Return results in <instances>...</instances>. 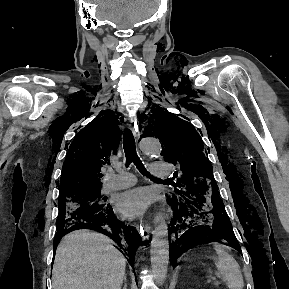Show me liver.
Listing matches in <instances>:
<instances>
[{"label": "liver", "mask_w": 289, "mask_h": 289, "mask_svg": "<svg viewBox=\"0 0 289 289\" xmlns=\"http://www.w3.org/2000/svg\"><path fill=\"white\" fill-rule=\"evenodd\" d=\"M126 259L106 236L77 230L59 243L53 289H121Z\"/></svg>", "instance_id": "6515ba94"}]
</instances>
